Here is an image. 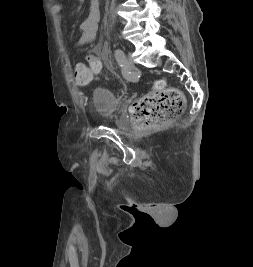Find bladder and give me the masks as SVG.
<instances>
[{
    "label": "bladder",
    "instance_id": "1",
    "mask_svg": "<svg viewBox=\"0 0 253 267\" xmlns=\"http://www.w3.org/2000/svg\"><path fill=\"white\" fill-rule=\"evenodd\" d=\"M91 105L99 119L109 120L116 112L118 99L111 90L98 87L92 93Z\"/></svg>",
    "mask_w": 253,
    "mask_h": 267
}]
</instances>
